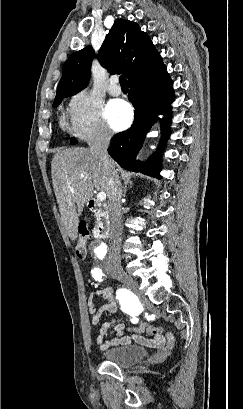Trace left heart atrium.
I'll return each mask as SVG.
<instances>
[{
    "label": "left heart atrium",
    "instance_id": "left-heart-atrium-1",
    "mask_svg": "<svg viewBox=\"0 0 243 409\" xmlns=\"http://www.w3.org/2000/svg\"><path fill=\"white\" fill-rule=\"evenodd\" d=\"M105 118L113 130H124L132 122V108L123 100H112L105 108Z\"/></svg>",
    "mask_w": 243,
    "mask_h": 409
}]
</instances>
